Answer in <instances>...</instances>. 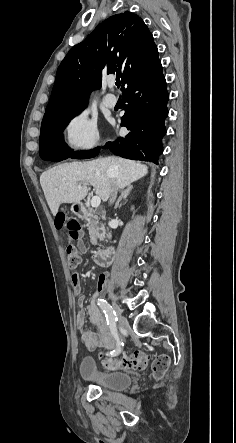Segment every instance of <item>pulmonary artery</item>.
<instances>
[{"label":"pulmonary artery","mask_w":236,"mask_h":443,"mask_svg":"<svg viewBox=\"0 0 236 443\" xmlns=\"http://www.w3.org/2000/svg\"><path fill=\"white\" fill-rule=\"evenodd\" d=\"M115 87L114 83H110L109 84V92L103 97V104L107 107V108H114L116 106V99L112 93L113 89Z\"/></svg>","instance_id":"pulmonary-artery-1"}]
</instances>
